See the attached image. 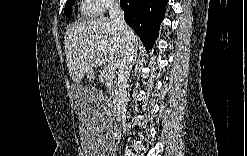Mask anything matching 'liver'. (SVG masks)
Instances as JSON below:
<instances>
[{"label":"liver","mask_w":247,"mask_h":156,"mask_svg":"<svg viewBox=\"0 0 247 156\" xmlns=\"http://www.w3.org/2000/svg\"><path fill=\"white\" fill-rule=\"evenodd\" d=\"M132 40L138 36L131 30ZM67 67L75 84L104 62L119 67L124 45L117 26L108 17H99L70 26L64 37Z\"/></svg>","instance_id":"6515ba94"}]
</instances>
